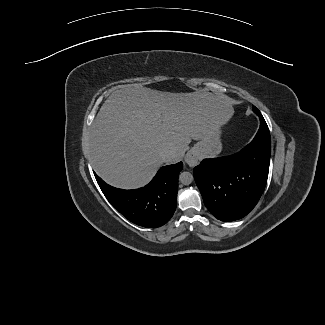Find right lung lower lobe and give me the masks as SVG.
<instances>
[{"mask_svg":"<svg viewBox=\"0 0 325 325\" xmlns=\"http://www.w3.org/2000/svg\"><path fill=\"white\" fill-rule=\"evenodd\" d=\"M183 164L161 167L153 180L143 188L123 190L96 180L113 207L129 221L143 227H160L167 223L177 204L178 176Z\"/></svg>","mask_w":325,"mask_h":325,"instance_id":"98d812e1","label":"right lung lower lobe"}]
</instances>
